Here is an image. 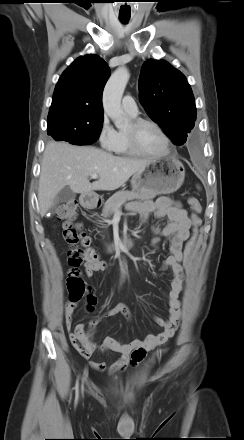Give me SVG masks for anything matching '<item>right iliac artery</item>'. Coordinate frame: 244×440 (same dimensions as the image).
Segmentation results:
<instances>
[{
    "mask_svg": "<svg viewBox=\"0 0 244 440\" xmlns=\"http://www.w3.org/2000/svg\"><path fill=\"white\" fill-rule=\"evenodd\" d=\"M75 391H76V397H75V403L77 404L78 398H79V382H76L75 385Z\"/></svg>",
    "mask_w": 244,
    "mask_h": 440,
    "instance_id": "obj_1",
    "label": "right iliac artery"
}]
</instances>
